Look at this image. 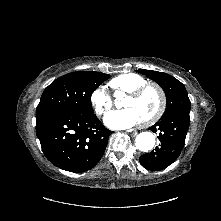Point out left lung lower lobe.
I'll return each instance as SVG.
<instances>
[{"instance_id":"1","label":"left lung lower lobe","mask_w":221,"mask_h":221,"mask_svg":"<svg viewBox=\"0 0 221 221\" xmlns=\"http://www.w3.org/2000/svg\"><path fill=\"white\" fill-rule=\"evenodd\" d=\"M190 111L172 112L161 119L149 130L159 131L160 144L154 151L140 156L143 167L150 171H160L171 165L180 155L189 128Z\"/></svg>"}]
</instances>
